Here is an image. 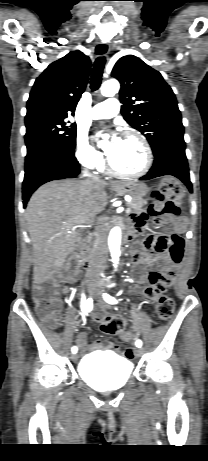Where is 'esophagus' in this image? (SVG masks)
Wrapping results in <instances>:
<instances>
[{
    "label": "esophagus",
    "instance_id": "esophagus-1",
    "mask_svg": "<svg viewBox=\"0 0 208 461\" xmlns=\"http://www.w3.org/2000/svg\"><path fill=\"white\" fill-rule=\"evenodd\" d=\"M98 51H102L105 53L106 56L110 53V45L107 42H103L99 45Z\"/></svg>",
    "mask_w": 208,
    "mask_h": 461
}]
</instances>
